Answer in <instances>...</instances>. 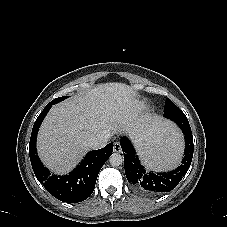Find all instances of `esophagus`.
Returning <instances> with one entry per match:
<instances>
[{
  "mask_svg": "<svg viewBox=\"0 0 227 227\" xmlns=\"http://www.w3.org/2000/svg\"><path fill=\"white\" fill-rule=\"evenodd\" d=\"M121 145L118 142L114 143V152L120 153L121 152Z\"/></svg>",
  "mask_w": 227,
  "mask_h": 227,
  "instance_id": "obj_1",
  "label": "esophagus"
}]
</instances>
